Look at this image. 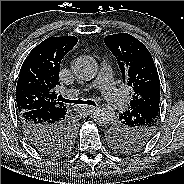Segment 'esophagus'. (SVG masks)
Instances as JSON below:
<instances>
[{"label": "esophagus", "instance_id": "esophagus-1", "mask_svg": "<svg viewBox=\"0 0 184 184\" xmlns=\"http://www.w3.org/2000/svg\"><path fill=\"white\" fill-rule=\"evenodd\" d=\"M96 108L94 106H84L78 109L79 113L92 114Z\"/></svg>", "mask_w": 184, "mask_h": 184}]
</instances>
